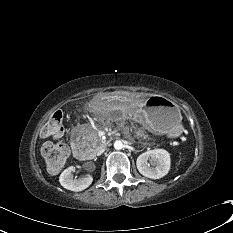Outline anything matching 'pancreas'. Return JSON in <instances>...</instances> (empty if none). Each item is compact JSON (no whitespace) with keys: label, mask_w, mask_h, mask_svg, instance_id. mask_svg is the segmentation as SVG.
Wrapping results in <instances>:
<instances>
[{"label":"pancreas","mask_w":233,"mask_h":233,"mask_svg":"<svg viewBox=\"0 0 233 233\" xmlns=\"http://www.w3.org/2000/svg\"><path fill=\"white\" fill-rule=\"evenodd\" d=\"M136 136H137L138 138H143V139L147 138V135H146V134L144 133V131H142V130H139V131L136 133ZM92 141H93L92 145H93L94 147H97V146H98V143H99V139H98V137H97L96 132H93V133H92Z\"/></svg>","instance_id":"1"}]
</instances>
